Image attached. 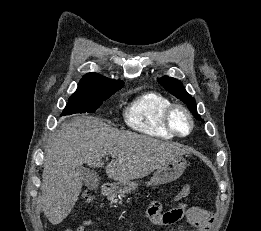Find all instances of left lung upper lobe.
<instances>
[{
    "instance_id": "obj_1",
    "label": "left lung upper lobe",
    "mask_w": 261,
    "mask_h": 231,
    "mask_svg": "<svg viewBox=\"0 0 261 231\" xmlns=\"http://www.w3.org/2000/svg\"><path fill=\"white\" fill-rule=\"evenodd\" d=\"M158 82L176 98L187 104L194 117L198 120H201V117L197 113L195 99L186 92L185 88L179 80L172 77L163 76L162 78L158 79Z\"/></svg>"
}]
</instances>
